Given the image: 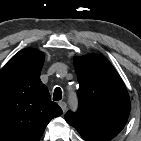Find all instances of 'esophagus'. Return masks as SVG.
Returning <instances> with one entry per match:
<instances>
[{
    "label": "esophagus",
    "instance_id": "34e87169",
    "mask_svg": "<svg viewBox=\"0 0 141 141\" xmlns=\"http://www.w3.org/2000/svg\"><path fill=\"white\" fill-rule=\"evenodd\" d=\"M59 106L61 107L62 111L65 112L67 109V104L64 101L59 102Z\"/></svg>",
    "mask_w": 141,
    "mask_h": 141
}]
</instances>
